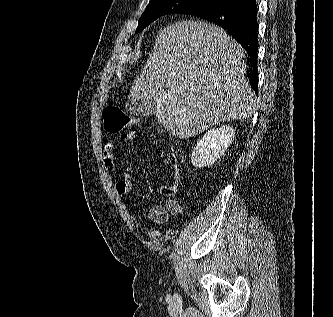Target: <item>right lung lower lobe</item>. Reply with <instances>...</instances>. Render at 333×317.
I'll list each match as a JSON object with an SVG mask.
<instances>
[{
    "mask_svg": "<svg viewBox=\"0 0 333 317\" xmlns=\"http://www.w3.org/2000/svg\"><path fill=\"white\" fill-rule=\"evenodd\" d=\"M255 0H237L227 2L213 10L199 12L196 16L210 21L225 29L249 55L250 73L248 78L253 90L258 93V23Z\"/></svg>",
    "mask_w": 333,
    "mask_h": 317,
    "instance_id": "right-lung-lower-lobe-1",
    "label": "right lung lower lobe"
}]
</instances>
